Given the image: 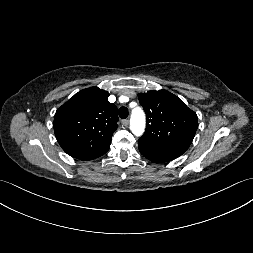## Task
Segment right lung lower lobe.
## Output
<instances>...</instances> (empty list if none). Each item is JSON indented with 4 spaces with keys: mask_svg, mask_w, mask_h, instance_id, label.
Masks as SVG:
<instances>
[{
    "mask_svg": "<svg viewBox=\"0 0 253 253\" xmlns=\"http://www.w3.org/2000/svg\"><path fill=\"white\" fill-rule=\"evenodd\" d=\"M110 146H106L98 151H95L93 153L84 155L83 157L79 158L80 160H84V161H88V160H92L95 158H98L100 156H102L103 154H105L108 150H109Z\"/></svg>",
    "mask_w": 253,
    "mask_h": 253,
    "instance_id": "1",
    "label": "right lung lower lobe"
}]
</instances>
